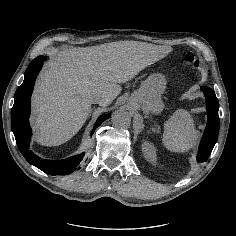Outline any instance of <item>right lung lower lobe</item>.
<instances>
[{
	"instance_id": "right-lung-lower-lobe-1",
	"label": "right lung lower lobe",
	"mask_w": 236,
	"mask_h": 236,
	"mask_svg": "<svg viewBox=\"0 0 236 236\" xmlns=\"http://www.w3.org/2000/svg\"><path fill=\"white\" fill-rule=\"evenodd\" d=\"M45 59L46 57L38 56L26 69L24 81L18 87L14 95V105L11 112V127L20 152L30 164L36 166L49 175H67L80 169L79 164L84 157V153L62 160H45L36 156L29 149L32 134L29 125L30 97L36 76ZM109 117L110 115H101L96 121L92 133Z\"/></svg>"
}]
</instances>
